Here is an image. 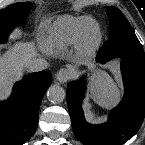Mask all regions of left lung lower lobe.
I'll return each instance as SVG.
<instances>
[{
    "label": "left lung lower lobe",
    "mask_w": 145,
    "mask_h": 145,
    "mask_svg": "<svg viewBox=\"0 0 145 145\" xmlns=\"http://www.w3.org/2000/svg\"><path fill=\"white\" fill-rule=\"evenodd\" d=\"M115 58L102 47L97 61L105 63ZM125 94L114 108L107 123L94 125L85 121L81 108L85 83L81 79L67 86V104L73 131L84 145H121L139 130L145 116V60L121 57Z\"/></svg>",
    "instance_id": "0a47b994"
}]
</instances>
